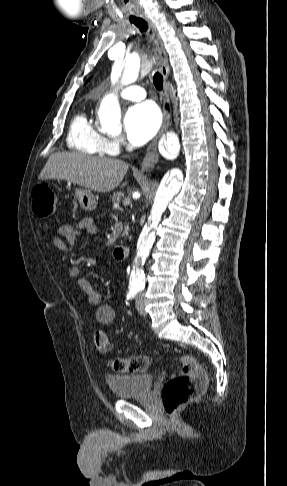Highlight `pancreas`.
I'll use <instances>...</instances> for the list:
<instances>
[{
	"label": "pancreas",
	"mask_w": 287,
	"mask_h": 486,
	"mask_svg": "<svg viewBox=\"0 0 287 486\" xmlns=\"http://www.w3.org/2000/svg\"><path fill=\"white\" fill-rule=\"evenodd\" d=\"M110 198H111V200H112V203H113L114 207H117V206L119 205V203H120V201H121L122 199H123V201H124V200H129V201H130V199H129V198H124V194H123V193H121V192H116V193H113V194L110 196ZM130 203H131V201H130ZM128 232H129V227H128V226H126V227H125V230H124V232H123V234H122V235H123V236H127V235H128Z\"/></svg>",
	"instance_id": "cf45deb5"
}]
</instances>
